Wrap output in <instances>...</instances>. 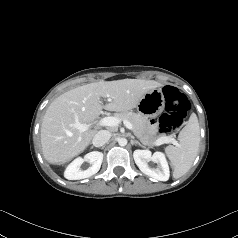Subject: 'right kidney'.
Returning a JSON list of instances; mask_svg holds the SVG:
<instances>
[{
    "label": "right kidney",
    "instance_id": "obj_1",
    "mask_svg": "<svg viewBox=\"0 0 238 238\" xmlns=\"http://www.w3.org/2000/svg\"><path fill=\"white\" fill-rule=\"evenodd\" d=\"M84 161H88L92 164L87 170H81L80 166ZM103 153L98 151H92L84 156V158L78 157L72 161L64 172V177L68 180H80L91 177L96 174L102 164Z\"/></svg>",
    "mask_w": 238,
    "mask_h": 238
}]
</instances>
